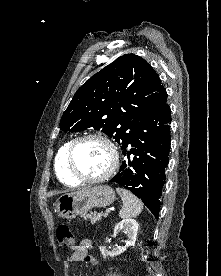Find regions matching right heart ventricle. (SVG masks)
I'll list each match as a JSON object with an SVG mask.
<instances>
[{
	"label": "right heart ventricle",
	"instance_id": "1",
	"mask_svg": "<svg viewBox=\"0 0 221 276\" xmlns=\"http://www.w3.org/2000/svg\"><path fill=\"white\" fill-rule=\"evenodd\" d=\"M71 141L65 142L58 150L55 158V171L59 180L67 185H76L79 183L78 180L73 178L68 172L66 166V152Z\"/></svg>",
	"mask_w": 221,
	"mask_h": 276
}]
</instances>
